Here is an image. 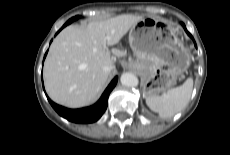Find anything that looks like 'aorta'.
Wrapping results in <instances>:
<instances>
[{"label": "aorta", "instance_id": "aorta-1", "mask_svg": "<svg viewBox=\"0 0 230 155\" xmlns=\"http://www.w3.org/2000/svg\"><path fill=\"white\" fill-rule=\"evenodd\" d=\"M121 83L125 87H136L138 86V78L130 72H125L121 75Z\"/></svg>", "mask_w": 230, "mask_h": 155}]
</instances>
